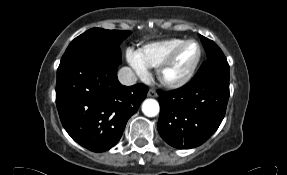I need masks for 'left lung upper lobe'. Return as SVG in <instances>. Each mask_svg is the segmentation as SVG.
<instances>
[{"label": "left lung upper lobe", "mask_w": 287, "mask_h": 175, "mask_svg": "<svg viewBox=\"0 0 287 175\" xmlns=\"http://www.w3.org/2000/svg\"><path fill=\"white\" fill-rule=\"evenodd\" d=\"M207 53V61L203 62L193 81L220 77L229 80V64L222 50L212 41L200 36Z\"/></svg>", "instance_id": "obj_1"}]
</instances>
